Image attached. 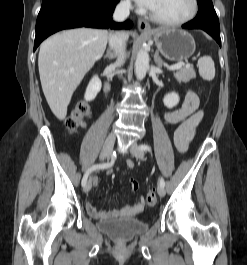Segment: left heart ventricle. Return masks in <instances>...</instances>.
Instances as JSON below:
<instances>
[{
  "mask_svg": "<svg viewBox=\"0 0 247 265\" xmlns=\"http://www.w3.org/2000/svg\"><path fill=\"white\" fill-rule=\"evenodd\" d=\"M191 9V0H155L150 8L156 15L168 20L181 19L187 16Z\"/></svg>",
  "mask_w": 247,
  "mask_h": 265,
  "instance_id": "b2bd125f",
  "label": "left heart ventricle"
}]
</instances>
